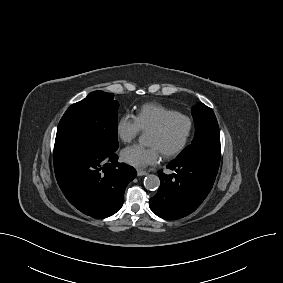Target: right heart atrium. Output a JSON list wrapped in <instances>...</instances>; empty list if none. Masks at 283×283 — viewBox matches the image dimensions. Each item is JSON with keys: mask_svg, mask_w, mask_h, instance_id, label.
<instances>
[{"mask_svg": "<svg viewBox=\"0 0 283 283\" xmlns=\"http://www.w3.org/2000/svg\"><path fill=\"white\" fill-rule=\"evenodd\" d=\"M141 132V128L135 116L123 114L116 122V133L124 143L132 142Z\"/></svg>", "mask_w": 283, "mask_h": 283, "instance_id": "right-heart-atrium-1", "label": "right heart atrium"}]
</instances>
